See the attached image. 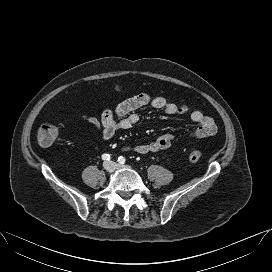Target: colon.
I'll return each mask as SVG.
<instances>
[{"instance_id": "obj_1", "label": "colon", "mask_w": 272, "mask_h": 272, "mask_svg": "<svg viewBox=\"0 0 272 272\" xmlns=\"http://www.w3.org/2000/svg\"><path fill=\"white\" fill-rule=\"evenodd\" d=\"M59 135V129L52 124L41 126L37 131V141L41 146H49L55 142ZM202 157L200 151H193L189 154L188 159L192 163L198 162Z\"/></svg>"}]
</instances>
